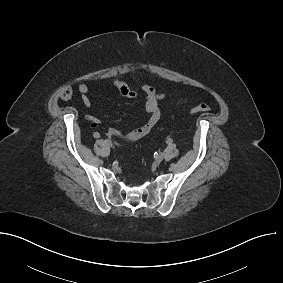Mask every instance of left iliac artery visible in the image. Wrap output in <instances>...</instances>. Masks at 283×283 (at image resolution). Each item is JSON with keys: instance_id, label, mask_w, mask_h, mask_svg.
I'll return each instance as SVG.
<instances>
[{"instance_id": "obj_1", "label": "left iliac artery", "mask_w": 283, "mask_h": 283, "mask_svg": "<svg viewBox=\"0 0 283 283\" xmlns=\"http://www.w3.org/2000/svg\"><path fill=\"white\" fill-rule=\"evenodd\" d=\"M172 142H173V140L171 138H168L167 141H166L167 144H171Z\"/></svg>"}]
</instances>
